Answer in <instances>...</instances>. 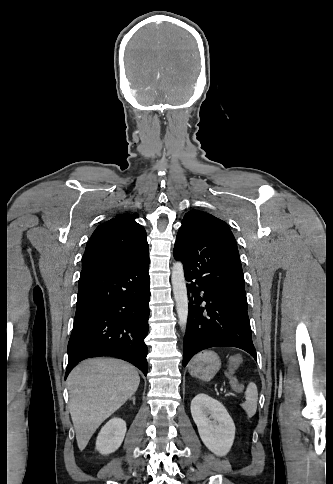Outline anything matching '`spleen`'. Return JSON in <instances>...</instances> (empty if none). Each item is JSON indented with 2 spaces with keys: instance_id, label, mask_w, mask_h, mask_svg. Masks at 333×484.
<instances>
[{
  "instance_id": "obj_1",
  "label": "spleen",
  "mask_w": 333,
  "mask_h": 484,
  "mask_svg": "<svg viewBox=\"0 0 333 484\" xmlns=\"http://www.w3.org/2000/svg\"><path fill=\"white\" fill-rule=\"evenodd\" d=\"M232 386L236 387L237 382L236 380L232 381ZM245 399L246 401L241 404V407L247 414V417H253L257 410V401H258V391L255 383L250 382L245 391Z\"/></svg>"
}]
</instances>
